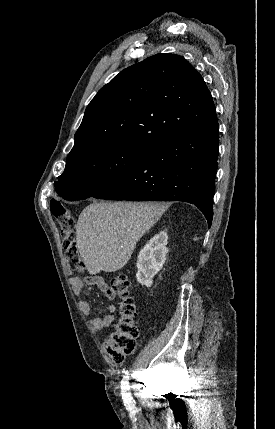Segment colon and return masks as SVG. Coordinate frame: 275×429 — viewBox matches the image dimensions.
<instances>
[{"label": "colon", "instance_id": "1", "mask_svg": "<svg viewBox=\"0 0 275 429\" xmlns=\"http://www.w3.org/2000/svg\"><path fill=\"white\" fill-rule=\"evenodd\" d=\"M50 209L60 226L61 236L65 243V256L71 269L82 271L85 269L75 239V220L67 207L59 202L52 201ZM110 288L120 298L119 319L114 325L111 334L104 340L103 348L106 354L116 363H122L136 348L139 330L136 325L137 309L130 294V280L127 275L118 273L111 279Z\"/></svg>", "mask_w": 275, "mask_h": 429}]
</instances>
